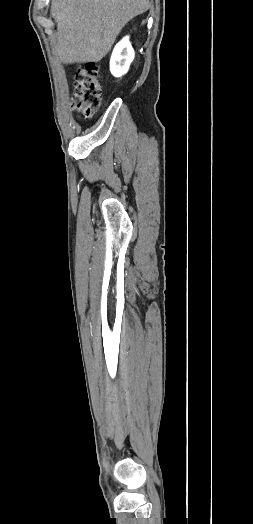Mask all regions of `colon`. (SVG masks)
<instances>
[{
	"label": "colon",
	"mask_w": 253,
	"mask_h": 524,
	"mask_svg": "<svg viewBox=\"0 0 253 524\" xmlns=\"http://www.w3.org/2000/svg\"><path fill=\"white\" fill-rule=\"evenodd\" d=\"M100 100L99 66L93 62L85 63L75 74L72 107L85 118H91L98 109Z\"/></svg>",
	"instance_id": "1"
}]
</instances>
